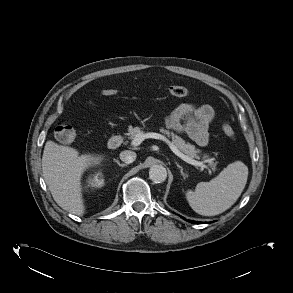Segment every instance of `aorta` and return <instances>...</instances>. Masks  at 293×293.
<instances>
[{"label":"aorta","instance_id":"762f6f07","mask_svg":"<svg viewBox=\"0 0 293 293\" xmlns=\"http://www.w3.org/2000/svg\"><path fill=\"white\" fill-rule=\"evenodd\" d=\"M149 177L155 183H162L167 178L166 168L162 165H153L149 170Z\"/></svg>","mask_w":293,"mask_h":293}]
</instances>
